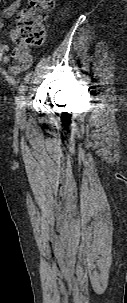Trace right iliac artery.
<instances>
[{
  "label": "right iliac artery",
  "mask_w": 127,
  "mask_h": 303,
  "mask_svg": "<svg viewBox=\"0 0 127 303\" xmlns=\"http://www.w3.org/2000/svg\"><path fill=\"white\" fill-rule=\"evenodd\" d=\"M30 76L27 75L24 79V83L20 86V95L21 98L25 96L27 90H28V84H29Z\"/></svg>",
  "instance_id": "right-iliac-artery-1"
}]
</instances>
